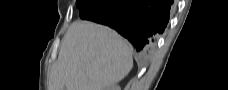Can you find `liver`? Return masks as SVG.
Masks as SVG:
<instances>
[{"label": "liver", "mask_w": 228, "mask_h": 90, "mask_svg": "<svg viewBox=\"0 0 228 90\" xmlns=\"http://www.w3.org/2000/svg\"><path fill=\"white\" fill-rule=\"evenodd\" d=\"M129 44L108 27L75 21L64 36L49 90H105L129 74Z\"/></svg>", "instance_id": "liver-1"}]
</instances>
